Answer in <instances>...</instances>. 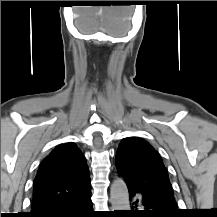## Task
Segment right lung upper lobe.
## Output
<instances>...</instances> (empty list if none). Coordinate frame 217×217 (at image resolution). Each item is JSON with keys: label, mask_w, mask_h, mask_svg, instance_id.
<instances>
[{"label": "right lung upper lobe", "mask_w": 217, "mask_h": 217, "mask_svg": "<svg viewBox=\"0 0 217 217\" xmlns=\"http://www.w3.org/2000/svg\"><path fill=\"white\" fill-rule=\"evenodd\" d=\"M90 192L85 157L74 143L60 144L40 164L29 215L39 214L62 201L75 200Z\"/></svg>", "instance_id": "cb5924a9"}]
</instances>
